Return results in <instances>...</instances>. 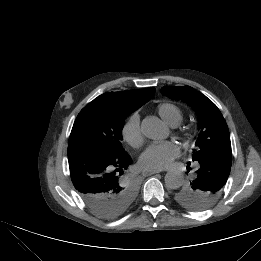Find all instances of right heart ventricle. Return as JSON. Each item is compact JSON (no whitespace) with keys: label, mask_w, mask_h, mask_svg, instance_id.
<instances>
[{"label":"right heart ventricle","mask_w":261,"mask_h":261,"mask_svg":"<svg viewBox=\"0 0 261 261\" xmlns=\"http://www.w3.org/2000/svg\"><path fill=\"white\" fill-rule=\"evenodd\" d=\"M157 111L161 118L172 126L179 124L183 118L182 109L171 102L160 103L157 106Z\"/></svg>","instance_id":"e07e8e85"}]
</instances>
